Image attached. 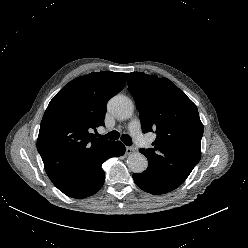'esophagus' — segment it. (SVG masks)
I'll list each match as a JSON object with an SVG mask.
<instances>
[{"label":"esophagus","mask_w":248,"mask_h":248,"mask_svg":"<svg viewBox=\"0 0 248 248\" xmlns=\"http://www.w3.org/2000/svg\"><path fill=\"white\" fill-rule=\"evenodd\" d=\"M136 152V149L134 147H126V154L130 155Z\"/></svg>","instance_id":"obj_1"}]
</instances>
